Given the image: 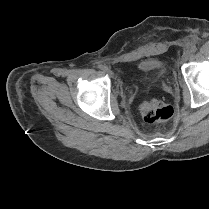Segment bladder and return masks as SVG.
<instances>
[{"instance_id": "31cf9c89", "label": "bladder", "mask_w": 209, "mask_h": 209, "mask_svg": "<svg viewBox=\"0 0 209 209\" xmlns=\"http://www.w3.org/2000/svg\"><path fill=\"white\" fill-rule=\"evenodd\" d=\"M137 67L144 74L150 75L152 78H156L161 72L164 71V64L154 58L141 60Z\"/></svg>"}]
</instances>
